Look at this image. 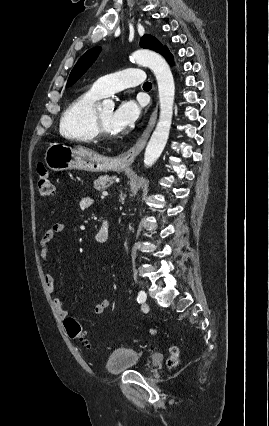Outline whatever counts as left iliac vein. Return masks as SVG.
Returning a JSON list of instances; mask_svg holds the SVG:
<instances>
[{
	"instance_id": "1",
	"label": "left iliac vein",
	"mask_w": 269,
	"mask_h": 426,
	"mask_svg": "<svg viewBox=\"0 0 269 426\" xmlns=\"http://www.w3.org/2000/svg\"><path fill=\"white\" fill-rule=\"evenodd\" d=\"M148 305L146 304V303H144L143 305H142V309L144 310V311H147L148 310Z\"/></svg>"
}]
</instances>
